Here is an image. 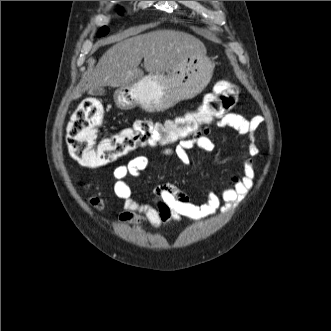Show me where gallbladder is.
I'll return each instance as SVG.
<instances>
[{
  "label": "gallbladder",
  "instance_id": "obj_1",
  "mask_svg": "<svg viewBox=\"0 0 331 331\" xmlns=\"http://www.w3.org/2000/svg\"><path fill=\"white\" fill-rule=\"evenodd\" d=\"M104 94H105V90L103 88H95L89 92V95L92 96H102Z\"/></svg>",
  "mask_w": 331,
  "mask_h": 331
}]
</instances>
